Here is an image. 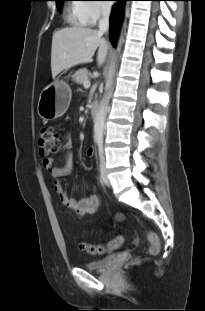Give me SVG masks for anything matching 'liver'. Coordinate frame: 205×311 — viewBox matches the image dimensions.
<instances>
[{
  "label": "liver",
  "instance_id": "1",
  "mask_svg": "<svg viewBox=\"0 0 205 311\" xmlns=\"http://www.w3.org/2000/svg\"><path fill=\"white\" fill-rule=\"evenodd\" d=\"M96 29L66 27L56 31L52 37L51 71L56 77L63 70L87 63L97 48V63L102 65L107 57L109 45Z\"/></svg>",
  "mask_w": 205,
  "mask_h": 311
}]
</instances>
